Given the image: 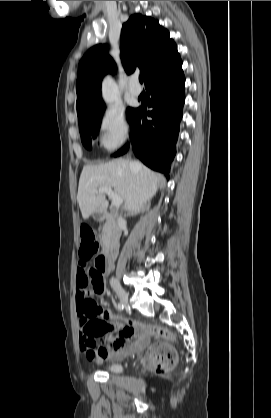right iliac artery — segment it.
Here are the masks:
<instances>
[{
  "mask_svg": "<svg viewBox=\"0 0 271 418\" xmlns=\"http://www.w3.org/2000/svg\"><path fill=\"white\" fill-rule=\"evenodd\" d=\"M123 308H124L123 304H121V303H118V304H117V310H118V311H122V310H123Z\"/></svg>",
  "mask_w": 271,
  "mask_h": 418,
  "instance_id": "82829eb1",
  "label": "right iliac artery"
}]
</instances>
